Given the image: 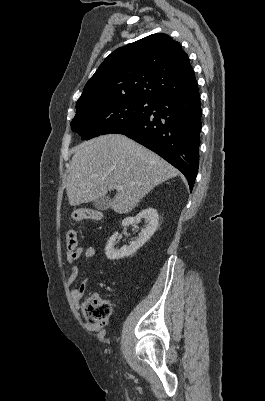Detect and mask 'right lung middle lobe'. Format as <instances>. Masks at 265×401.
<instances>
[{
  "label": "right lung middle lobe",
  "mask_w": 265,
  "mask_h": 401,
  "mask_svg": "<svg viewBox=\"0 0 265 401\" xmlns=\"http://www.w3.org/2000/svg\"><path fill=\"white\" fill-rule=\"evenodd\" d=\"M156 101L146 98L106 97L76 106L71 122L74 132L88 140L99 135L114 133L149 116Z\"/></svg>",
  "instance_id": "dd1d6c3e"
}]
</instances>
